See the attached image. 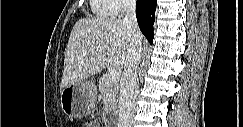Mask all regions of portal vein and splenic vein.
Instances as JSON below:
<instances>
[{
  "instance_id": "1",
  "label": "portal vein and splenic vein",
  "mask_w": 243,
  "mask_h": 127,
  "mask_svg": "<svg viewBox=\"0 0 243 127\" xmlns=\"http://www.w3.org/2000/svg\"><path fill=\"white\" fill-rule=\"evenodd\" d=\"M107 76L110 80H117L121 76V70L119 68H112L109 70Z\"/></svg>"
}]
</instances>
